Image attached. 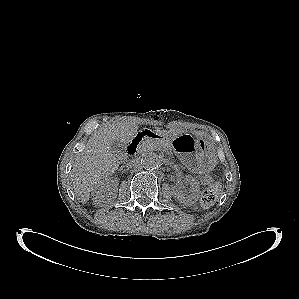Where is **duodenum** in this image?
Returning <instances> with one entry per match:
<instances>
[{"mask_svg": "<svg viewBox=\"0 0 299 299\" xmlns=\"http://www.w3.org/2000/svg\"><path fill=\"white\" fill-rule=\"evenodd\" d=\"M148 137H155V134L151 130H144L136 134V136L129 142L127 152L129 155L136 153L140 143Z\"/></svg>", "mask_w": 299, "mask_h": 299, "instance_id": "obj_1", "label": "duodenum"}]
</instances>
